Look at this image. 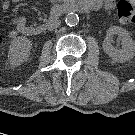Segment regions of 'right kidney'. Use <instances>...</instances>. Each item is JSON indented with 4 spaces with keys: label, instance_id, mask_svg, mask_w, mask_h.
<instances>
[{
    "label": "right kidney",
    "instance_id": "ca27d5eb",
    "mask_svg": "<svg viewBox=\"0 0 135 135\" xmlns=\"http://www.w3.org/2000/svg\"><path fill=\"white\" fill-rule=\"evenodd\" d=\"M31 48L32 42L26 37L20 36L12 40L8 51V60L12 67H17L26 61Z\"/></svg>",
    "mask_w": 135,
    "mask_h": 135
}]
</instances>
